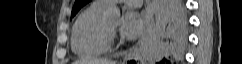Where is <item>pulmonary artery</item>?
Masks as SVG:
<instances>
[{
    "instance_id": "1",
    "label": "pulmonary artery",
    "mask_w": 242,
    "mask_h": 64,
    "mask_svg": "<svg viewBox=\"0 0 242 64\" xmlns=\"http://www.w3.org/2000/svg\"><path fill=\"white\" fill-rule=\"evenodd\" d=\"M116 2H124L132 7H140L142 4L141 0H98V1H95L94 3L104 7H108Z\"/></svg>"
}]
</instances>
